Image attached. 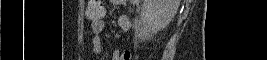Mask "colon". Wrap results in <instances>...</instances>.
<instances>
[{
	"label": "colon",
	"instance_id": "5ec220e1",
	"mask_svg": "<svg viewBox=\"0 0 267 60\" xmlns=\"http://www.w3.org/2000/svg\"><path fill=\"white\" fill-rule=\"evenodd\" d=\"M103 0H90L88 3V14L89 21H96L104 12Z\"/></svg>",
	"mask_w": 267,
	"mask_h": 60
}]
</instances>
